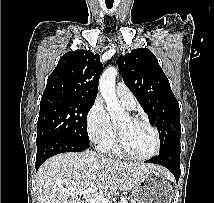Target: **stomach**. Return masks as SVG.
<instances>
[{
  "mask_svg": "<svg viewBox=\"0 0 214 203\" xmlns=\"http://www.w3.org/2000/svg\"><path fill=\"white\" fill-rule=\"evenodd\" d=\"M174 190L165 174L156 169L143 172L136 188V203H172Z\"/></svg>",
  "mask_w": 214,
  "mask_h": 203,
  "instance_id": "stomach-1",
  "label": "stomach"
}]
</instances>
